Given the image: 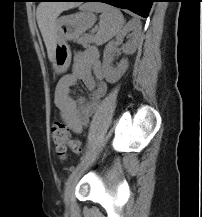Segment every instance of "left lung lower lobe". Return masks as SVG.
Returning <instances> with one entry per match:
<instances>
[{
	"instance_id": "obj_1",
	"label": "left lung lower lobe",
	"mask_w": 202,
	"mask_h": 217,
	"mask_svg": "<svg viewBox=\"0 0 202 217\" xmlns=\"http://www.w3.org/2000/svg\"><path fill=\"white\" fill-rule=\"evenodd\" d=\"M43 1H71V2H103L115 7L128 9L142 17H147L155 0H43Z\"/></svg>"
}]
</instances>
